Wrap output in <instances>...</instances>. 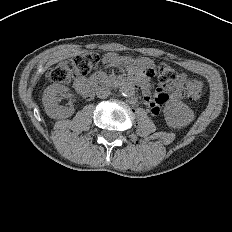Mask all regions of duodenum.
Here are the masks:
<instances>
[{"mask_svg": "<svg viewBox=\"0 0 232 232\" xmlns=\"http://www.w3.org/2000/svg\"><path fill=\"white\" fill-rule=\"evenodd\" d=\"M129 83L132 84V85H136V86H140L143 89H145L146 85L143 81H139L137 79H130L129 80ZM76 88L78 90V92L86 97V98H90L93 96L94 94V86L92 83L88 82V81H80L77 85H76Z\"/></svg>", "mask_w": 232, "mask_h": 232, "instance_id": "1", "label": "duodenum"}]
</instances>
